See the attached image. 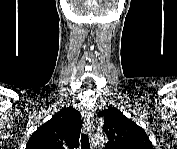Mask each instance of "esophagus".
Listing matches in <instances>:
<instances>
[{"label": "esophagus", "instance_id": "esophagus-1", "mask_svg": "<svg viewBox=\"0 0 177 149\" xmlns=\"http://www.w3.org/2000/svg\"><path fill=\"white\" fill-rule=\"evenodd\" d=\"M93 122H94V115L92 114V112L90 111L86 112L84 116V125H83L85 132L87 133L90 132Z\"/></svg>", "mask_w": 177, "mask_h": 149}]
</instances>
